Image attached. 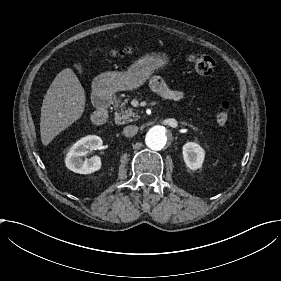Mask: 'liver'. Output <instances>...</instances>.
Masks as SVG:
<instances>
[{
  "label": "liver",
  "instance_id": "1",
  "mask_svg": "<svg viewBox=\"0 0 281 281\" xmlns=\"http://www.w3.org/2000/svg\"><path fill=\"white\" fill-rule=\"evenodd\" d=\"M85 91L72 69H63L51 83L43 99L40 117L42 144L47 146L61 131L81 118Z\"/></svg>",
  "mask_w": 281,
  "mask_h": 281
}]
</instances>
